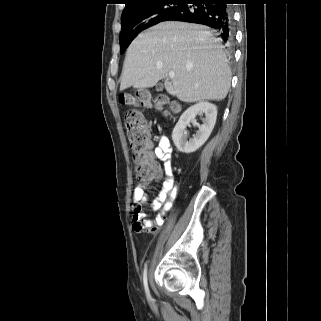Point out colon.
<instances>
[{
    "label": "colon",
    "mask_w": 321,
    "mask_h": 321,
    "mask_svg": "<svg viewBox=\"0 0 321 321\" xmlns=\"http://www.w3.org/2000/svg\"><path fill=\"white\" fill-rule=\"evenodd\" d=\"M125 105H140L144 107H155L164 110L168 106L173 111L175 106L168 104L165 97L152 100L148 94L142 93L136 97L125 96L121 99ZM167 112V110H165ZM125 127L129 149L134 163L135 177L143 183L150 184L158 175V167L149 155V133L147 122L143 114L138 110H130L125 115ZM139 207H137V211Z\"/></svg>",
    "instance_id": "1"
}]
</instances>
